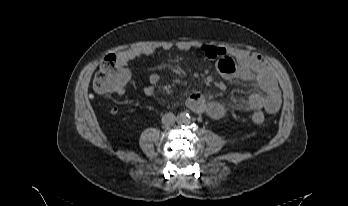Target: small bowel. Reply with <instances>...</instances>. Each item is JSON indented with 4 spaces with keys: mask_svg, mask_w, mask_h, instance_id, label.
<instances>
[{
    "mask_svg": "<svg viewBox=\"0 0 348 206\" xmlns=\"http://www.w3.org/2000/svg\"><path fill=\"white\" fill-rule=\"evenodd\" d=\"M177 48L181 51L199 49L209 60L216 61L218 72L227 79H241L253 82L263 92L253 93L241 105V110L251 111L264 109L270 114L276 113L281 105V93L272 68L260 57L241 49L228 50L222 46L211 44H194L189 41H180ZM171 47L144 46L128 50L119 54V61L128 66L131 61L167 51ZM131 73L139 75L135 71ZM161 77L152 73L147 77L144 86L146 95L154 94ZM123 93V90L118 92ZM188 105L197 112H205L214 119H223L229 115V111L219 103L208 102L200 93H193L188 98Z\"/></svg>",
    "mask_w": 348,
    "mask_h": 206,
    "instance_id": "obj_1",
    "label": "small bowel"
}]
</instances>
